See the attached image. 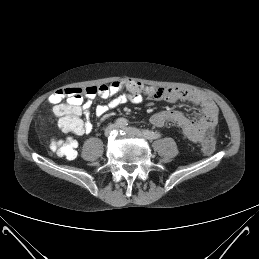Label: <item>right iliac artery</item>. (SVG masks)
<instances>
[{"label":"right iliac artery","mask_w":259,"mask_h":259,"mask_svg":"<svg viewBox=\"0 0 259 259\" xmlns=\"http://www.w3.org/2000/svg\"><path fill=\"white\" fill-rule=\"evenodd\" d=\"M115 124L118 126V127H124L126 125H128V122L125 118H118L116 121H115Z\"/></svg>","instance_id":"right-iliac-artery-1"}]
</instances>
